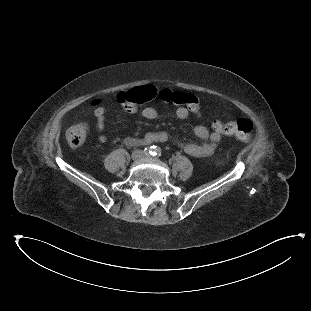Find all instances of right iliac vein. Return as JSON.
<instances>
[{
	"mask_svg": "<svg viewBox=\"0 0 311 311\" xmlns=\"http://www.w3.org/2000/svg\"><path fill=\"white\" fill-rule=\"evenodd\" d=\"M131 158L134 160V161H137L141 158H143V154L141 151H134L131 155Z\"/></svg>",
	"mask_w": 311,
	"mask_h": 311,
	"instance_id": "63e3f726",
	"label": "right iliac vein"
}]
</instances>
